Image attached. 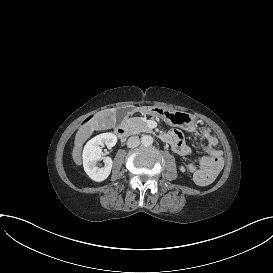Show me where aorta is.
<instances>
[{
    "instance_id": "aorta-1",
    "label": "aorta",
    "mask_w": 273,
    "mask_h": 273,
    "mask_svg": "<svg viewBox=\"0 0 273 273\" xmlns=\"http://www.w3.org/2000/svg\"><path fill=\"white\" fill-rule=\"evenodd\" d=\"M153 137L151 135H143L141 137V143L144 145V146H150L152 145L153 143Z\"/></svg>"
}]
</instances>
